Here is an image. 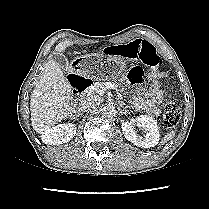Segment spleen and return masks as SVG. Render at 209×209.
I'll use <instances>...</instances> for the list:
<instances>
[{
	"label": "spleen",
	"mask_w": 209,
	"mask_h": 209,
	"mask_svg": "<svg viewBox=\"0 0 209 209\" xmlns=\"http://www.w3.org/2000/svg\"><path fill=\"white\" fill-rule=\"evenodd\" d=\"M174 136H175V132L174 131L168 133L167 135H165V137H164V139L162 141V144L167 143L168 141H170L171 139H173Z\"/></svg>",
	"instance_id": "1"
}]
</instances>
